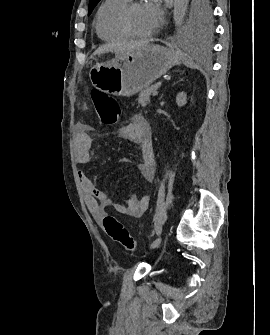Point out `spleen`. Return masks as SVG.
<instances>
[{
	"instance_id": "spleen-1",
	"label": "spleen",
	"mask_w": 270,
	"mask_h": 335,
	"mask_svg": "<svg viewBox=\"0 0 270 335\" xmlns=\"http://www.w3.org/2000/svg\"><path fill=\"white\" fill-rule=\"evenodd\" d=\"M182 58L184 60V64H187V66H190V68H195V64H192V62L188 60L187 54H183Z\"/></svg>"
}]
</instances>
